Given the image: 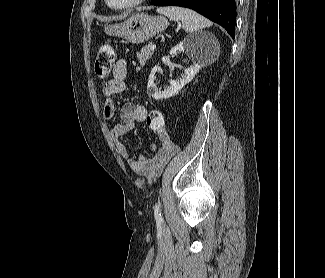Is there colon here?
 <instances>
[{"instance_id": "obj_1", "label": "colon", "mask_w": 325, "mask_h": 278, "mask_svg": "<svg viewBox=\"0 0 325 278\" xmlns=\"http://www.w3.org/2000/svg\"><path fill=\"white\" fill-rule=\"evenodd\" d=\"M115 51L111 45H102L97 52L94 71L97 77L106 78L112 69ZM147 126L156 134L165 133L166 123L163 114L158 110H151L146 116Z\"/></svg>"}]
</instances>
